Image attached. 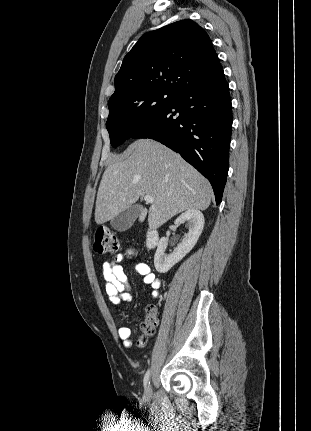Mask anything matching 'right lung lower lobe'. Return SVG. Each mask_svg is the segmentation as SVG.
Masks as SVG:
<instances>
[{
	"label": "right lung lower lobe",
	"mask_w": 311,
	"mask_h": 431,
	"mask_svg": "<svg viewBox=\"0 0 311 431\" xmlns=\"http://www.w3.org/2000/svg\"><path fill=\"white\" fill-rule=\"evenodd\" d=\"M232 106L223 71L187 87L131 138H150L178 152L211 183L216 204L229 168Z\"/></svg>",
	"instance_id": "98d812e1"
}]
</instances>
